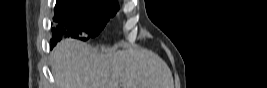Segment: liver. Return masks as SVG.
Returning <instances> with one entry per match:
<instances>
[{"mask_svg":"<svg viewBox=\"0 0 267 88\" xmlns=\"http://www.w3.org/2000/svg\"><path fill=\"white\" fill-rule=\"evenodd\" d=\"M50 63L58 88H174L168 65L140 47L104 54L65 39L51 52Z\"/></svg>","mask_w":267,"mask_h":88,"instance_id":"liver-1","label":"liver"}]
</instances>
